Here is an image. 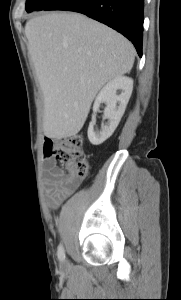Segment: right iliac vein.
Returning <instances> with one entry per match:
<instances>
[{
	"label": "right iliac vein",
	"mask_w": 181,
	"mask_h": 300,
	"mask_svg": "<svg viewBox=\"0 0 181 300\" xmlns=\"http://www.w3.org/2000/svg\"><path fill=\"white\" fill-rule=\"evenodd\" d=\"M61 268H62V270H67V269H68V262H67V261H64V262L61 264Z\"/></svg>",
	"instance_id": "obj_1"
}]
</instances>
